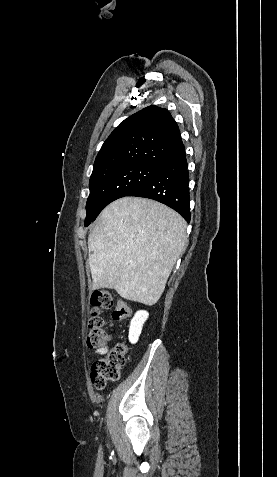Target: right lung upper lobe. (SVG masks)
<instances>
[{
	"mask_svg": "<svg viewBox=\"0 0 277 477\" xmlns=\"http://www.w3.org/2000/svg\"><path fill=\"white\" fill-rule=\"evenodd\" d=\"M183 149L171 114L151 105L125 119L111 133L95 159L92 174L129 163L158 166Z\"/></svg>",
	"mask_w": 277,
	"mask_h": 477,
	"instance_id": "obj_1",
	"label": "right lung upper lobe"
}]
</instances>
